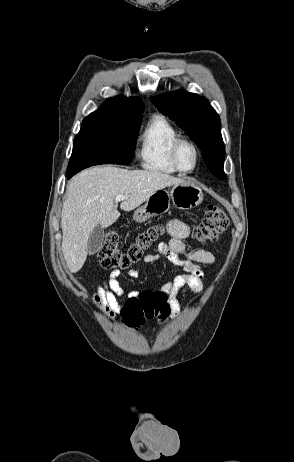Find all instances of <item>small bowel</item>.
Listing matches in <instances>:
<instances>
[{
	"label": "small bowel",
	"instance_id": "obj_1",
	"mask_svg": "<svg viewBox=\"0 0 294 462\" xmlns=\"http://www.w3.org/2000/svg\"><path fill=\"white\" fill-rule=\"evenodd\" d=\"M166 230L171 236L169 242L157 244L155 252L144 257L146 263H153L166 258L173 264L179 266L183 271L182 274L176 275L169 279L158 291L164 293L167 297L171 309V317L177 318L181 314L178 293L184 287L189 288L193 293L199 294L203 290L204 273L200 265H210L215 258L212 252L195 249L188 250L185 245V239L189 236L190 228L187 224L178 220H170L166 224ZM120 272L113 270L109 277L99 284L93 292L94 304L103 311L109 318L116 319L124 306L119 301V297L126 294L119 281ZM128 275L132 278L140 276L137 269L129 270ZM137 292H131L129 296L137 295Z\"/></svg>",
	"mask_w": 294,
	"mask_h": 462
}]
</instances>
